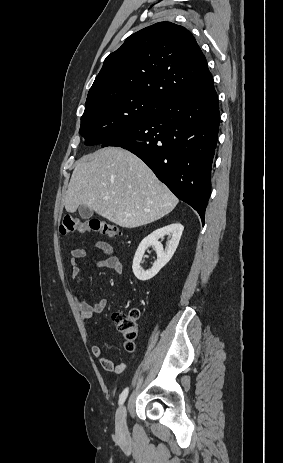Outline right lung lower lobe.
Segmentation results:
<instances>
[{
  "label": "right lung lower lobe",
  "instance_id": "1",
  "mask_svg": "<svg viewBox=\"0 0 283 463\" xmlns=\"http://www.w3.org/2000/svg\"><path fill=\"white\" fill-rule=\"evenodd\" d=\"M219 120L218 97L212 86L162 101L148 118L102 147L118 146L137 155L204 222Z\"/></svg>",
  "mask_w": 283,
  "mask_h": 463
}]
</instances>
